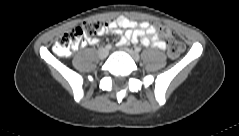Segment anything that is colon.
Here are the masks:
<instances>
[{
	"label": "colon",
	"instance_id": "obj_1",
	"mask_svg": "<svg viewBox=\"0 0 239 136\" xmlns=\"http://www.w3.org/2000/svg\"><path fill=\"white\" fill-rule=\"evenodd\" d=\"M103 28V23L98 20L85 21L81 26H77L62 34L54 45V51L60 56H68L78 48L83 36L94 37ZM159 31L169 39L168 55L171 58L179 57L184 50L183 43L176 41L169 29L160 27Z\"/></svg>",
	"mask_w": 239,
	"mask_h": 136
}]
</instances>
